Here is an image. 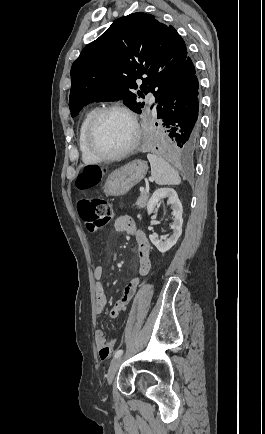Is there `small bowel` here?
Returning <instances> with one entry per match:
<instances>
[{
	"mask_svg": "<svg viewBox=\"0 0 265 434\" xmlns=\"http://www.w3.org/2000/svg\"><path fill=\"white\" fill-rule=\"evenodd\" d=\"M115 229L118 232L127 233L135 237L138 247V257H139V270L138 276L133 278L123 289L121 298L115 303L114 307L111 309L109 316L112 319H116L120 313L127 310L129 302L132 300L136 291L140 285V277L145 276L149 273L151 268V245L146 236V234L138 227L134 219L129 214H122L115 221ZM103 267L98 266L95 269V278L97 283L95 285V310L97 314H101L108 302L107 295L105 292V287L101 282L103 277ZM96 347L99 349L100 340H107L105 332L101 329L95 331L94 334Z\"/></svg>",
	"mask_w": 265,
	"mask_h": 434,
	"instance_id": "1",
	"label": "small bowel"
}]
</instances>
